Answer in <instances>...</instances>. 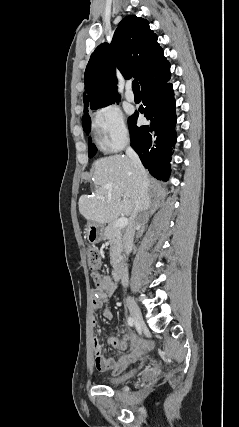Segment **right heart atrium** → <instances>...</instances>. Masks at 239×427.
<instances>
[{"mask_svg":"<svg viewBox=\"0 0 239 427\" xmlns=\"http://www.w3.org/2000/svg\"><path fill=\"white\" fill-rule=\"evenodd\" d=\"M103 149L117 152L123 149L130 140V134L123 113L115 106L108 105L100 109L93 121Z\"/></svg>","mask_w":239,"mask_h":427,"instance_id":"1","label":"right heart atrium"}]
</instances>
